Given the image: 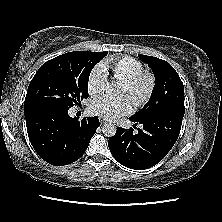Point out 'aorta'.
Segmentation results:
<instances>
[{
	"label": "aorta",
	"instance_id": "762f6f07",
	"mask_svg": "<svg viewBox=\"0 0 222 222\" xmlns=\"http://www.w3.org/2000/svg\"><path fill=\"white\" fill-rule=\"evenodd\" d=\"M106 90L108 92H115L117 91V86L116 84L114 83H110V84H107L106 86ZM103 134L107 137H112L116 134V127L114 124L112 123H106L104 126H103Z\"/></svg>",
	"mask_w": 222,
	"mask_h": 222
}]
</instances>
